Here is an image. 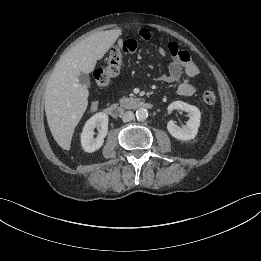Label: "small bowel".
I'll return each instance as SVG.
<instances>
[{
    "mask_svg": "<svg viewBox=\"0 0 261 261\" xmlns=\"http://www.w3.org/2000/svg\"><path fill=\"white\" fill-rule=\"evenodd\" d=\"M141 40L150 41L157 38V32L149 29L142 28L138 32ZM119 47L126 54H133L137 47V42L134 39H126L118 41ZM159 55L166 57L170 56V65L168 73L161 75L158 79L160 81L175 84L177 86V93L181 96H192L196 92L194 80L199 75L197 65L191 59L190 54L178 47L174 42H168L165 47L157 49ZM182 74L187 76V80L181 81ZM99 103L94 101L91 104V110L96 111Z\"/></svg>",
    "mask_w": 261,
    "mask_h": 261,
    "instance_id": "c3829d8e",
    "label": "small bowel"
}]
</instances>
